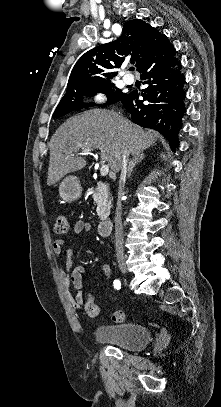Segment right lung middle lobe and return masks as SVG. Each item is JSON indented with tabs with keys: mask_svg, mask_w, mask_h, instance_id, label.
Segmentation results:
<instances>
[{
	"mask_svg": "<svg viewBox=\"0 0 221 407\" xmlns=\"http://www.w3.org/2000/svg\"><path fill=\"white\" fill-rule=\"evenodd\" d=\"M95 93H104L108 97L106 104H112L119 101L126 93H122L121 90L114 87L112 82L103 83L90 88L74 90L66 92L57 106L53 116L59 117L66 115L67 113L78 110L81 108L95 106L93 103H83V96L93 95Z\"/></svg>",
	"mask_w": 221,
	"mask_h": 407,
	"instance_id": "obj_1",
	"label": "right lung middle lobe"
}]
</instances>
